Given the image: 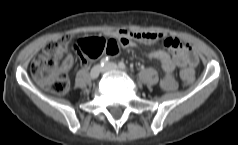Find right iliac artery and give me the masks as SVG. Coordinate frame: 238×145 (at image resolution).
Listing matches in <instances>:
<instances>
[{
	"label": "right iliac artery",
	"instance_id": "obj_1",
	"mask_svg": "<svg viewBox=\"0 0 238 145\" xmlns=\"http://www.w3.org/2000/svg\"><path fill=\"white\" fill-rule=\"evenodd\" d=\"M108 61H109L108 57L102 58L100 61L101 66H105L108 63Z\"/></svg>",
	"mask_w": 238,
	"mask_h": 145
}]
</instances>
